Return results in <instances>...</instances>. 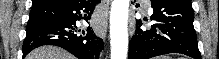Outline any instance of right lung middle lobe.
<instances>
[{
  "label": "right lung middle lobe",
  "instance_id": "obj_1",
  "mask_svg": "<svg viewBox=\"0 0 219 59\" xmlns=\"http://www.w3.org/2000/svg\"><path fill=\"white\" fill-rule=\"evenodd\" d=\"M52 15L48 13H40L30 15L27 27L43 24L52 20Z\"/></svg>",
  "mask_w": 219,
  "mask_h": 59
}]
</instances>
